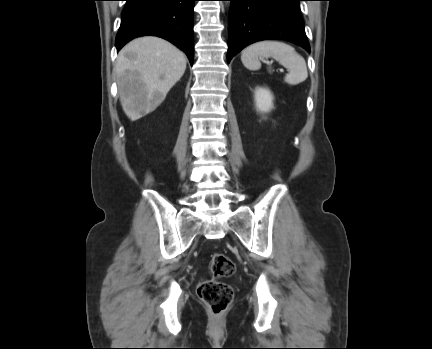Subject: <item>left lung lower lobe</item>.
<instances>
[{
	"label": "left lung lower lobe",
	"mask_w": 432,
	"mask_h": 349,
	"mask_svg": "<svg viewBox=\"0 0 432 349\" xmlns=\"http://www.w3.org/2000/svg\"><path fill=\"white\" fill-rule=\"evenodd\" d=\"M228 1V62L247 45L267 39L290 41L310 51L300 14L301 0Z\"/></svg>",
	"instance_id": "left-lung-lower-lobe-1"
}]
</instances>
